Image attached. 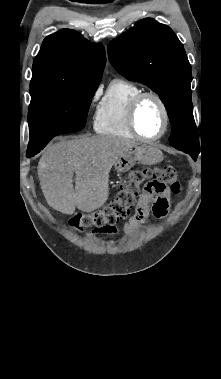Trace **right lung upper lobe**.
<instances>
[{"instance_id": "cb5924a9", "label": "right lung upper lobe", "mask_w": 221, "mask_h": 379, "mask_svg": "<svg viewBox=\"0 0 221 379\" xmlns=\"http://www.w3.org/2000/svg\"><path fill=\"white\" fill-rule=\"evenodd\" d=\"M105 64L101 44L90 43L74 30H60L44 39L35 57L30 94L80 85L98 86Z\"/></svg>"}]
</instances>
